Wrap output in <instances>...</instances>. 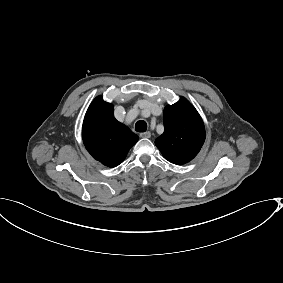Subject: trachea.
Listing matches in <instances>:
<instances>
[{"mask_svg":"<svg viewBox=\"0 0 283 283\" xmlns=\"http://www.w3.org/2000/svg\"><path fill=\"white\" fill-rule=\"evenodd\" d=\"M135 130L137 132H145L147 130V123L144 120H139L135 124Z\"/></svg>","mask_w":283,"mask_h":283,"instance_id":"1","label":"trachea"}]
</instances>
